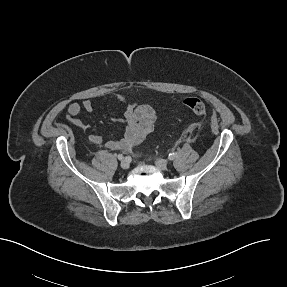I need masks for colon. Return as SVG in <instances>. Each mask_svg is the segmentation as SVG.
<instances>
[{
    "label": "colon",
    "instance_id": "1",
    "mask_svg": "<svg viewBox=\"0 0 287 287\" xmlns=\"http://www.w3.org/2000/svg\"><path fill=\"white\" fill-rule=\"evenodd\" d=\"M184 105L196 115H204L207 112L206 104L197 97L186 98Z\"/></svg>",
    "mask_w": 287,
    "mask_h": 287
}]
</instances>
